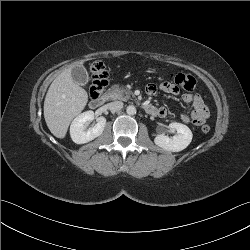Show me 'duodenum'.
Instances as JSON below:
<instances>
[{
    "mask_svg": "<svg viewBox=\"0 0 250 250\" xmlns=\"http://www.w3.org/2000/svg\"><path fill=\"white\" fill-rule=\"evenodd\" d=\"M106 99L107 97L105 95L93 97L90 101L91 108L93 109L100 108L106 102ZM144 109L147 113L151 115H155L157 112L156 108L152 105H145Z\"/></svg>",
    "mask_w": 250,
    "mask_h": 250,
    "instance_id": "obj_1",
    "label": "duodenum"
}]
</instances>
